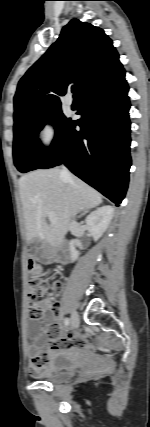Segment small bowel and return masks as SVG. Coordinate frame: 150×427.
<instances>
[{"label": "small bowel", "instance_id": "small-bowel-1", "mask_svg": "<svg viewBox=\"0 0 150 427\" xmlns=\"http://www.w3.org/2000/svg\"><path fill=\"white\" fill-rule=\"evenodd\" d=\"M60 308L59 302H52L51 312L48 313L47 318L36 321L30 326L33 343L28 346L27 355L29 358L28 370L33 376L47 375L46 353H42L45 346L50 345L51 349H65L81 348L86 344V340L81 336H61L59 328L54 324Z\"/></svg>", "mask_w": 150, "mask_h": 427}]
</instances>
